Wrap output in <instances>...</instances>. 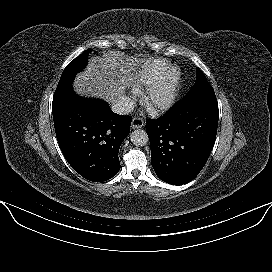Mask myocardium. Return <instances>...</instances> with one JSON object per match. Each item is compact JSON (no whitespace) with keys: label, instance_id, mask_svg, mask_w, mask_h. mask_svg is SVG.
<instances>
[{"label":"myocardium","instance_id":"f54148a6","mask_svg":"<svg viewBox=\"0 0 272 272\" xmlns=\"http://www.w3.org/2000/svg\"><path fill=\"white\" fill-rule=\"evenodd\" d=\"M181 73L170 66L162 77L152 85L144 96V104L152 113H160L173 106L178 95Z\"/></svg>","mask_w":272,"mask_h":272}]
</instances>
